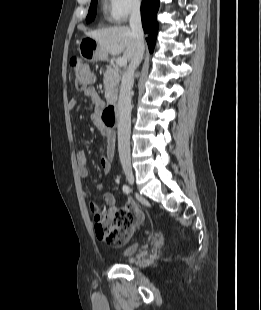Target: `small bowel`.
<instances>
[{
	"mask_svg": "<svg viewBox=\"0 0 261 310\" xmlns=\"http://www.w3.org/2000/svg\"><path fill=\"white\" fill-rule=\"evenodd\" d=\"M84 94L89 97L96 109H100L103 106V100L97 90L93 87L86 88ZM77 104L76 99L72 98L69 100V108L74 109ZM95 122L100 126L99 119L96 116ZM101 127V132L104 137V142L101 146V167L104 173L108 174L112 169V162L114 160V137L113 133L104 127ZM77 165L78 173L81 178H87L89 175L88 171V157L84 151H79L77 154ZM97 188H101V185L98 184ZM104 202L108 205L107 214L113 215L118 212V208L115 205V196L110 192H104L103 195ZM144 216V215H143ZM142 222V221H141Z\"/></svg>",
	"mask_w": 261,
	"mask_h": 310,
	"instance_id": "c3829d8e",
	"label": "small bowel"
}]
</instances>
